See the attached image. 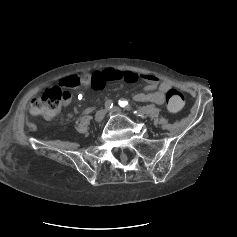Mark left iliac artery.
I'll return each instance as SVG.
<instances>
[{
    "instance_id": "44dca946",
    "label": "left iliac artery",
    "mask_w": 237,
    "mask_h": 237,
    "mask_svg": "<svg viewBox=\"0 0 237 237\" xmlns=\"http://www.w3.org/2000/svg\"><path fill=\"white\" fill-rule=\"evenodd\" d=\"M118 104L121 107H126L127 110H132L133 113L137 116H143L144 114L151 112L155 108V105L151 104L140 109H133L130 105H128V102L123 99L119 100Z\"/></svg>"
}]
</instances>
